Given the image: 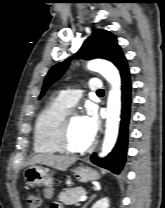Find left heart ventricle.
I'll list each match as a JSON object with an SVG mask.
<instances>
[{"mask_svg":"<svg viewBox=\"0 0 165 208\" xmlns=\"http://www.w3.org/2000/svg\"><path fill=\"white\" fill-rule=\"evenodd\" d=\"M68 142L75 149L84 148L92 142L84 128L83 119L79 115L74 116L71 120Z\"/></svg>","mask_w":165,"mask_h":208,"instance_id":"obj_1","label":"left heart ventricle"}]
</instances>
